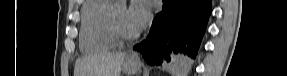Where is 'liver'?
<instances>
[{"label": "liver", "mask_w": 287, "mask_h": 76, "mask_svg": "<svg viewBox=\"0 0 287 76\" xmlns=\"http://www.w3.org/2000/svg\"><path fill=\"white\" fill-rule=\"evenodd\" d=\"M125 53L101 52L77 59L75 76H119Z\"/></svg>", "instance_id": "1"}]
</instances>
